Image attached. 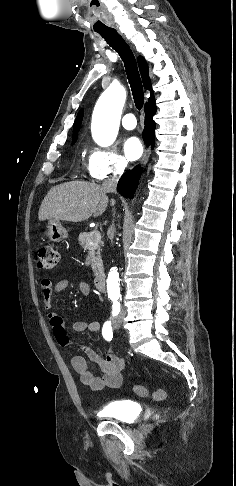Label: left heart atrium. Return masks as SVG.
Masks as SVG:
<instances>
[{
    "instance_id": "left-heart-atrium-1",
    "label": "left heart atrium",
    "mask_w": 236,
    "mask_h": 486,
    "mask_svg": "<svg viewBox=\"0 0 236 486\" xmlns=\"http://www.w3.org/2000/svg\"><path fill=\"white\" fill-rule=\"evenodd\" d=\"M123 151L128 160L134 161L141 156L143 147L137 137L131 136L124 140Z\"/></svg>"
}]
</instances>
